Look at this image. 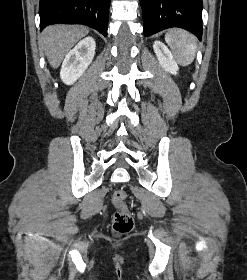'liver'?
<instances>
[{
  "instance_id": "liver-1",
  "label": "liver",
  "mask_w": 247,
  "mask_h": 280,
  "mask_svg": "<svg viewBox=\"0 0 247 280\" xmlns=\"http://www.w3.org/2000/svg\"><path fill=\"white\" fill-rule=\"evenodd\" d=\"M87 34L88 29L79 25L46 27L41 34L40 43L51 67L58 68L71 48Z\"/></svg>"
}]
</instances>
